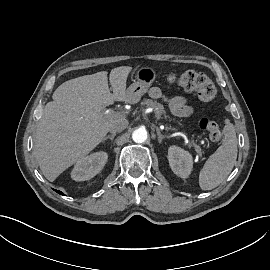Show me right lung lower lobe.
<instances>
[{
	"mask_svg": "<svg viewBox=\"0 0 270 270\" xmlns=\"http://www.w3.org/2000/svg\"><path fill=\"white\" fill-rule=\"evenodd\" d=\"M57 193L63 195V193L61 191L55 190Z\"/></svg>",
	"mask_w": 270,
	"mask_h": 270,
	"instance_id": "1",
	"label": "right lung lower lobe"
}]
</instances>
